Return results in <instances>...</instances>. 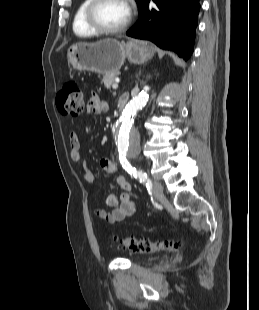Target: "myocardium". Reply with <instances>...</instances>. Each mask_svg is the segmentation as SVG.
<instances>
[{
	"label": "myocardium",
	"mask_w": 259,
	"mask_h": 310,
	"mask_svg": "<svg viewBox=\"0 0 259 310\" xmlns=\"http://www.w3.org/2000/svg\"><path fill=\"white\" fill-rule=\"evenodd\" d=\"M103 0H90L89 4L86 7L85 10V22L87 26L96 34H102V35H114L123 32L126 30L130 23H131V15L128 14V17L126 21L115 28H107L102 26L95 18V11L96 8L100 3H102Z\"/></svg>",
	"instance_id": "f54148a6"
}]
</instances>
